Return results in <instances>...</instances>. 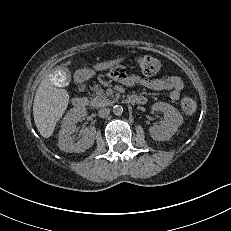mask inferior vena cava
<instances>
[{
    "mask_svg": "<svg viewBox=\"0 0 231 231\" xmlns=\"http://www.w3.org/2000/svg\"><path fill=\"white\" fill-rule=\"evenodd\" d=\"M110 114V108H103L98 111V116L101 118H106Z\"/></svg>",
    "mask_w": 231,
    "mask_h": 231,
    "instance_id": "inferior-vena-cava-1",
    "label": "inferior vena cava"
}]
</instances>
